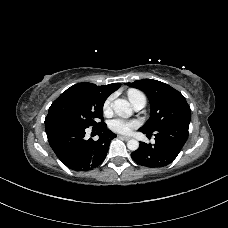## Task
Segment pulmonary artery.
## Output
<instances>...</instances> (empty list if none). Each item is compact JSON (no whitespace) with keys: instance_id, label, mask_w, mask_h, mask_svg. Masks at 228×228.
I'll use <instances>...</instances> for the list:
<instances>
[{"instance_id":"1","label":"pulmonary artery","mask_w":228,"mask_h":228,"mask_svg":"<svg viewBox=\"0 0 228 228\" xmlns=\"http://www.w3.org/2000/svg\"><path fill=\"white\" fill-rule=\"evenodd\" d=\"M129 100L135 110H141L146 106L147 100L143 93H135L129 96Z\"/></svg>"}]
</instances>
